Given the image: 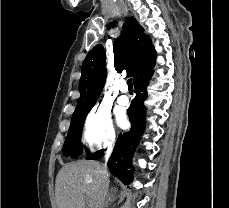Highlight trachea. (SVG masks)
Returning <instances> with one entry per match:
<instances>
[{
	"instance_id": "obj_1",
	"label": "trachea",
	"mask_w": 229,
	"mask_h": 208,
	"mask_svg": "<svg viewBox=\"0 0 229 208\" xmlns=\"http://www.w3.org/2000/svg\"><path fill=\"white\" fill-rule=\"evenodd\" d=\"M127 84H128L129 91H133L132 78H129V80H127Z\"/></svg>"
}]
</instances>
